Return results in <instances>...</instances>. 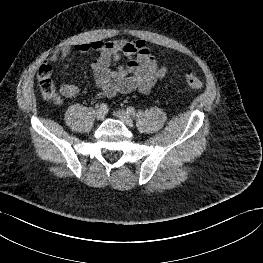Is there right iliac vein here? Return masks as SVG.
Here are the masks:
<instances>
[{"label":"right iliac vein","instance_id":"1","mask_svg":"<svg viewBox=\"0 0 263 263\" xmlns=\"http://www.w3.org/2000/svg\"><path fill=\"white\" fill-rule=\"evenodd\" d=\"M96 118L97 120H103L105 117V112L102 109L96 111Z\"/></svg>","mask_w":263,"mask_h":263}]
</instances>
